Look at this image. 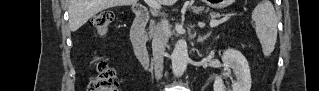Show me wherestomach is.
Here are the masks:
<instances>
[{
	"mask_svg": "<svg viewBox=\"0 0 319 91\" xmlns=\"http://www.w3.org/2000/svg\"><path fill=\"white\" fill-rule=\"evenodd\" d=\"M210 6L213 7V8H222V7L225 6V3L221 2V1H212L210 3Z\"/></svg>",
	"mask_w": 319,
	"mask_h": 91,
	"instance_id": "obj_1",
	"label": "stomach"
}]
</instances>
